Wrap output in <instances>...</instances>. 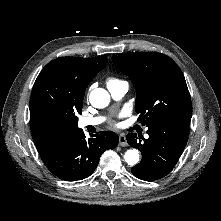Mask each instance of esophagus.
<instances>
[{
	"label": "esophagus",
	"mask_w": 221,
	"mask_h": 221,
	"mask_svg": "<svg viewBox=\"0 0 221 221\" xmlns=\"http://www.w3.org/2000/svg\"><path fill=\"white\" fill-rule=\"evenodd\" d=\"M119 145L125 147L128 145L126 136L124 134L119 135Z\"/></svg>",
	"instance_id": "obj_1"
}]
</instances>
